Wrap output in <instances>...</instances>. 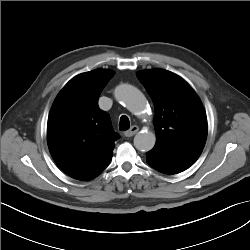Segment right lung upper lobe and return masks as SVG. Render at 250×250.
Here are the masks:
<instances>
[{"mask_svg": "<svg viewBox=\"0 0 250 250\" xmlns=\"http://www.w3.org/2000/svg\"><path fill=\"white\" fill-rule=\"evenodd\" d=\"M115 73L96 69L75 76L56 97L48 118L47 140L57 165L80 180L112 158L119 138L98 98Z\"/></svg>", "mask_w": 250, "mask_h": 250, "instance_id": "cb5924a9", "label": "right lung upper lobe"}]
</instances>
